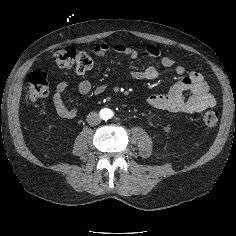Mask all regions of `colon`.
Wrapping results in <instances>:
<instances>
[{
	"label": "colon",
	"instance_id": "obj_1",
	"mask_svg": "<svg viewBox=\"0 0 236 236\" xmlns=\"http://www.w3.org/2000/svg\"><path fill=\"white\" fill-rule=\"evenodd\" d=\"M53 61L64 69H73L78 74H84L93 66L91 57L74 47H65L52 52ZM51 91V84L42 71L33 72L27 82V93L31 101L47 96ZM219 115L215 111H207L203 115L205 125L213 127L218 123Z\"/></svg>",
	"mask_w": 236,
	"mask_h": 236
}]
</instances>
